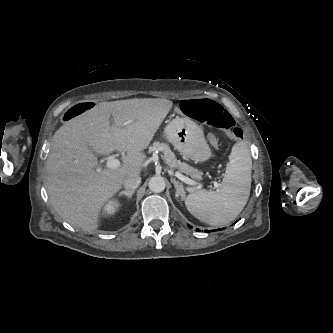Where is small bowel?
Listing matches in <instances>:
<instances>
[{
  "mask_svg": "<svg viewBox=\"0 0 333 333\" xmlns=\"http://www.w3.org/2000/svg\"><path fill=\"white\" fill-rule=\"evenodd\" d=\"M177 115L184 116L185 118L188 116V114L185 112L183 113L182 111H179L176 107L173 109ZM196 127L200 128L204 132L207 130V128L201 124L196 122L194 124ZM205 137L209 138V146L211 147L212 150H217L218 147H225L227 145V138L223 135L217 134L213 135L211 131H206L205 132Z\"/></svg>",
  "mask_w": 333,
  "mask_h": 333,
  "instance_id": "1",
  "label": "small bowel"
}]
</instances>
